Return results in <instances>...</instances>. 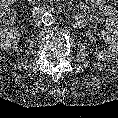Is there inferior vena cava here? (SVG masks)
Masks as SVG:
<instances>
[{"mask_svg": "<svg viewBox=\"0 0 118 118\" xmlns=\"http://www.w3.org/2000/svg\"><path fill=\"white\" fill-rule=\"evenodd\" d=\"M36 24H37V26H39L41 24V21L40 20L37 21Z\"/></svg>", "mask_w": 118, "mask_h": 118, "instance_id": "1", "label": "inferior vena cava"}]
</instances>
